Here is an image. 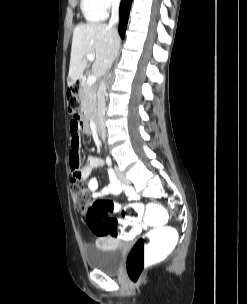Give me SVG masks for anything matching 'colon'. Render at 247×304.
Instances as JSON below:
<instances>
[{
  "mask_svg": "<svg viewBox=\"0 0 247 304\" xmlns=\"http://www.w3.org/2000/svg\"><path fill=\"white\" fill-rule=\"evenodd\" d=\"M79 105L78 89H70L67 93L68 111L79 112ZM70 189L76 208L87 215L88 226L97 236L134 241L135 235L140 234L135 221L142 219L143 225H152L148 233L134 243L128 254L126 269L132 283L140 282L146 265L153 259H164V253H173L178 244L177 225H167V221H173V214H167L164 202H139L123 207L116 206L110 200L90 203L86 187L76 177H72ZM118 209L125 219L109 217Z\"/></svg>",
  "mask_w": 247,
  "mask_h": 304,
  "instance_id": "5ec220e1",
  "label": "colon"
}]
</instances>
